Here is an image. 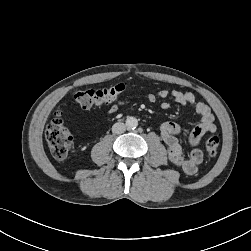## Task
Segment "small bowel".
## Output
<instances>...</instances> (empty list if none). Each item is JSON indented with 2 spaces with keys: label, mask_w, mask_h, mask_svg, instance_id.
<instances>
[{
  "label": "small bowel",
  "mask_w": 251,
  "mask_h": 251,
  "mask_svg": "<svg viewBox=\"0 0 251 251\" xmlns=\"http://www.w3.org/2000/svg\"><path fill=\"white\" fill-rule=\"evenodd\" d=\"M146 99L150 103H160V107L164 110L170 108V101L182 105H194L195 112L200 117V121L191 128L189 144L192 147V150L188 157L183 155L182 147L176 138L180 133V128L176 123H163L160 127V136L167 147L170 162L188 175L196 174L198 166L203 161V152L198 148V145L204 134L216 131L214 115L211 109L205 103L197 101L195 95L191 92H182L178 90L170 91L164 89L157 93L148 94ZM124 104H126V101H119L112 105L107 113L114 114L119 107Z\"/></svg>",
  "instance_id": "small-bowel-1"
}]
</instances>
